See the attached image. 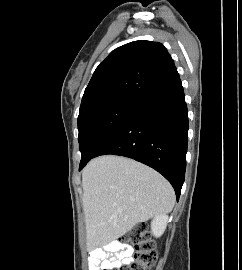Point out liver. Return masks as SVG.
<instances>
[{
  "label": "liver",
  "mask_w": 242,
  "mask_h": 270,
  "mask_svg": "<svg viewBox=\"0 0 242 270\" xmlns=\"http://www.w3.org/2000/svg\"><path fill=\"white\" fill-rule=\"evenodd\" d=\"M87 246L106 245L136 224L169 213L170 183L155 170L120 156L91 160L82 172Z\"/></svg>",
  "instance_id": "liver-1"
}]
</instances>
